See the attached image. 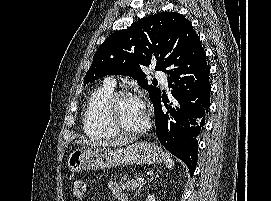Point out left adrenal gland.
I'll list each match as a JSON object with an SVG mask.
<instances>
[{
	"label": "left adrenal gland",
	"mask_w": 271,
	"mask_h": 201,
	"mask_svg": "<svg viewBox=\"0 0 271 201\" xmlns=\"http://www.w3.org/2000/svg\"><path fill=\"white\" fill-rule=\"evenodd\" d=\"M150 180H153V177ZM144 184H146V182L140 185L139 189L135 193V196H137V194L139 193L140 189L143 187Z\"/></svg>",
	"instance_id": "a2214340"
}]
</instances>
